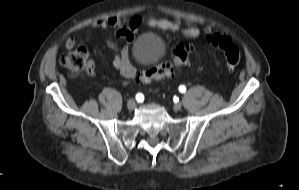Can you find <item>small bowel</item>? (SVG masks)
Returning <instances> with one entry per match:
<instances>
[{"label": "small bowel", "instance_id": "obj_1", "mask_svg": "<svg viewBox=\"0 0 299 190\" xmlns=\"http://www.w3.org/2000/svg\"><path fill=\"white\" fill-rule=\"evenodd\" d=\"M143 22V18L139 16L123 17L110 16L107 19L99 20L96 24L97 28L106 34L109 30L114 31L115 37L124 40L128 45H131L134 40V34ZM146 24L157 27L159 29L180 33L187 38H197L202 32H207L208 28L198 27L189 21L182 22L179 19L168 20L164 18L149 17L146 19ZM67 48L75 45L73 38H68L65 42ZM108 47L114 52L113 66L125 78H133L136 73L135 63L130 59L127 46L118 48L112 41H107ZM94 63L90 61L87 66L89 75H94Z\"/></svg>", "mask_w": 299, "mask_h": 190}]
</instances>
